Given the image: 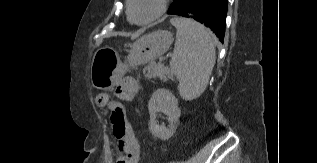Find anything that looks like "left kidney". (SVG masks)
<instances>
[{"mask_svg":"<svg viewBox=\"0 0 317 163\" xmlns=\"http://www.w3.org/2000/svg\"><path fill=\"white\" fill-rule=\"evenodd\" d=\"M150 113L149 129L151 133L162 140L169 139L176 131L179 124L181 111L177 98L166 89H157L153 92L148 104ZM162 112L168 116L169 127L157 123V113Z\"/></svg>","mask_w":317,"mask_h":163,"instance_id":"5707ae66","label":"left kidney"}]
</instances>
